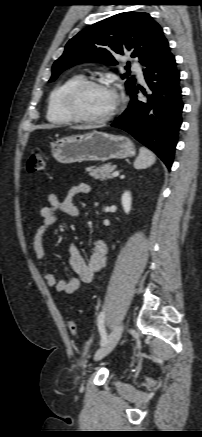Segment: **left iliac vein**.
I'll return each mask as SVG.
<instances>
[{"label": "left iliac vein", "mask_w": 202, "mask_h": 437, "mask_svg": "<svg viewBox=\"0 0 202 437\" xmlns=\"http://www.w3.org/2000/svg\"><path fill=\"white\" fill-rule=\"evenodd\" d=\"M124 326L123 324L118 325L114 328V330L108 336L106 343L99 349L94 355V359L100 360L108 355L117 345L118 341L121 338Z\"/></svg>", "instance_id": "4c4485c4"}]
</instances>
